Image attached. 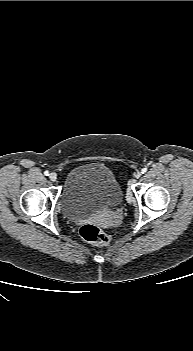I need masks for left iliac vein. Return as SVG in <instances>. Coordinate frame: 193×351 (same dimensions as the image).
I'll list each match as a JSON object with an SVG mask.
<instances>
[{
  "label": "left iliac vein",
  "instance_id": "obj_1",
  "mask_svg": "<svg viewBox=\"0 0 193 351\" xmlns=\"http://www.w3.org/2000/svg\"><path fill=\"white\" fill-rule=\"evenodd\" d=\"M141 175H142L141 172H137L136 175H135V177L138 179V178L141 177Z\"/></svg>",
  "mask_w": 193,
  "mask_h": 351
}]
</instances>
